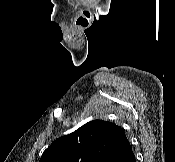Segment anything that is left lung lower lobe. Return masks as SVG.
<instances>
[{"mask_svg": "<svg viewBox=\"0 0 175 162\" xmlns=\"http://www.w3.org/2000/svg\"><path fill=\"white\" fill-rule=\"evenodd\" d=\"M106 162H135V156L127 138L113 150Z\"/></svg>", "mask_w": 175, "mask_h": 162, "instance_id": "left-lung-lower-lobe-1", "label": "left lung lower lobe"}]
</instances>
